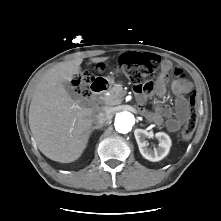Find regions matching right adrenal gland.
Returning <instances> with one entry per match:
<instances>
[{"instance_id": "right-adrenal-gland-1", "label": "right adrenal gland", "mask_w": 221, "mask_h": 221, "mask_svg": "<svg viewBox=\"0 0 221 221\" xmlns=\"http://www.w3.org/2000/svg\"><path fill=\"white\" fill-rule=\"evenodd\" d=\"M101 127L100 126H92L91 128V133L94 131V130H100Z\"/></svg>"}]
</instances>
